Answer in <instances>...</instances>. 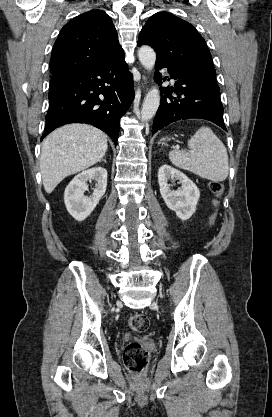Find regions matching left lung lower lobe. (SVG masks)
I'll use <instances>...</instances> for the list:
<instances>
[{
	"label": "left lung lower lobe",
	"mask_w": 272,
	"mask_h": 417,
	"mask_svg": "<svg viewBox=\"0 0 272 417\" xmlns=\"http://www.w3.org/2000/svg\"><path fill=\"white\" fill-rule=\"evenodd\" d=\"M163 67L168 69L171 78L175 80V85L174 88L160 89L163 96L154 118L152 133L170 123L191 118L209 120L226 130L219 87L179 68L156 62L155 80L159 84L161 82L159 70ZM173 92L177 94V98L171 95Z\"/></svg>",
	"instance_id": "1"
}]
</instances>
